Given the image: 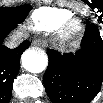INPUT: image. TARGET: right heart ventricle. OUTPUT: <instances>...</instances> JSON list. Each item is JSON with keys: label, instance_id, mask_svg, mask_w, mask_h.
Returning a JSON list of instances; mask_svg holds the SVG:
<instances>
[{"label": "right heart ventricle", "instance_id": "obj_1", "mask_svg": "<svg viewBox=\"0 0 103 103\" xmlns=\"http://www.w3.org/2000/svg\"><path fill=\"white\" fill-rule=\"evenodd\" d=\"M71 15L67 9L43 7L33 13L31 25L34 30L39 32L53 31L61 28Z\"/></svg>", "mask_w": 103, "mask_h": 103}]
</instances>
